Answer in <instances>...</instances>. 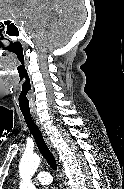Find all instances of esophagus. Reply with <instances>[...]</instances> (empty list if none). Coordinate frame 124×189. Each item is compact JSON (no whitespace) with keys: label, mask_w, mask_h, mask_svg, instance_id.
Masks as SVG:
<instances>
[{"label":"esophagus","mask_w":124,"mask_h":189,"mask_svg":"<svg viewBox=\"0 0 124 189\" xmlns=\"http://www.w3.org/2000/svg\"><path fill=\"white\" fill-rule=\"evenodd\" d=\"M32 118L34 119L35 123L37 124L38 128L40 129V131H41V133H42V135H43V138H44L45 142L47 143V145H48L50 148H52V144H51V142H50V140H49V137L47 136V134H46V132H45V129H44L42 123L40 122L38 116L36 115V113H34V112L32 113ZM63 189H67V188H66V182H63Z\"/></svg>","instance_id":"obj_1"}]
</instances>
